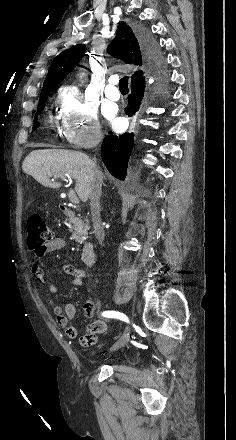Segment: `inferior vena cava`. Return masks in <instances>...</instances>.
<instances>
[{
  "label": "inferior vena cava",
  "instance_id": "obj_1",
  "mask_svg": "<svg viewBox=\"0 0 236 440\" xmlns=\"http://www.w3.org/2000/svg\"><path fill=\"white\" fill-rule=\"evenodd\" d=\"M102 139L100 134H96L94 143L98 144ZM102 187V176L98 168L95 170V178L90 192V209L93 221L94 232L99 243L102 244L105 234L100 216V196Z\"/></svg>",
  "mask_w": 236,
  "mask_h": 440
}]
</instances>
